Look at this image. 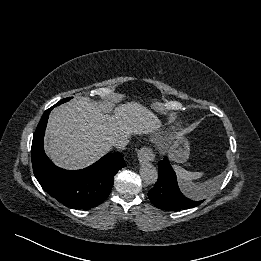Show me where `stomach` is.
<instances>
[{
    "label": "stomach",
    "instance_id": "1",
    "mask_svg": "<svg viewBox=\"0 0 261 261\" xmlns=\"http://www.w3.org/2000/svg\"><path fill=\"white\" fill-rule=\"evenodd\" d=\"M190 155V146L188 140L182 133L174 136L168 148L169 158L177 163H184Z\"/></svg>",
    "mask_w": 261,
    "mask_h": 261
}]
</instances>
